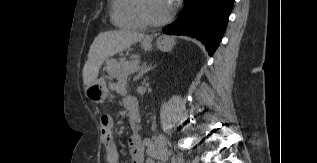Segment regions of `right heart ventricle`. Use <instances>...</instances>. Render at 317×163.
Segmentation results:
<instances>
[{"instance_id": "obj_1", "label": "right heart ventricle", "mask_w": 317, "mask_h": 163, "mask_svg": "<svg viewBox=\"0 0 317 163\" xmlns=\"http://www.w3.org/2000/svg\"><path fill=\"white\" fill-rule=\"evenodd\" d=\"M112 23L122 29H144L146 24L137 11V0H112Z\"/></svg>"}]
</instances>
